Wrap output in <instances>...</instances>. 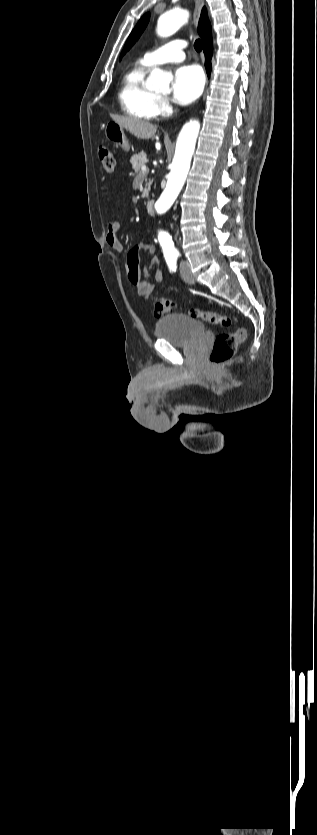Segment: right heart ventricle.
I'll list each match as a JSON object with an SVG mask.
<instances>
[{
	"label": "right heart ventricle",
	"instance_id": "1",
	"mask_svg": "<svg viewBox=\"0 0 317 835\" xmlns=\"http://www.w3.org/2000/svg\"><path fill=\"white\" fill-rule=\"evenodd\" d=\"M148 67L142 60L137 61L123 76L118 92L122 110L131 117L143 120L156 116L159 98L145 85Z\"/></svg>",
	"mask_w": 317,
	"mask_h": 835
}]
</instances>
